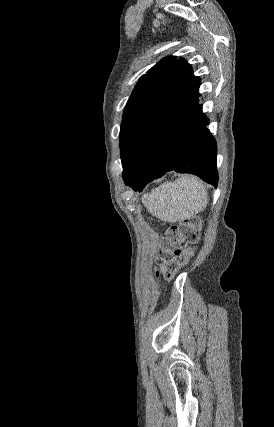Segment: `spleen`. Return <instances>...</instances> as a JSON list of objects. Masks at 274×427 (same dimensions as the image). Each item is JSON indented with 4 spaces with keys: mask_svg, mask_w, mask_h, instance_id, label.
<instances>
[{
    "mask_svg": "<svg viewBox=\"0 0 274 427\" xmlns=\"http://www.w3.org/2000/svg\"><path fill=\"white\" fill-rule=\"evenodd\" d=\"M205 184L196 176H181L175 182H165L151 194H144L142 202L162 221H181L199 214L207 206Z\"/></svg>",
    "mask_w": 274,
    "mask_h": 427,
    "instance_id": "3e777b00",
    "label": "spleen"
}]
</instances>
